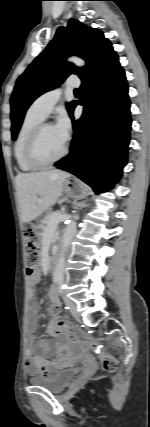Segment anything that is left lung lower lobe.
Wrapping results in <instances>:
<instances>
[{
  "mask_svg": "<svg viewBox=\"0 0 150 427\" xmlns=\"http://www.w3.org/2000/svg\"><path fill=\"white\" fill-rule=\"evenodd\" d=\"M78 104L84 111L74 120ZM70 117L74 129L70 153L55 166L76 175L96 194L105 192L114 184L111 178L122 174L131 129L128 85L113 49L82 79L81 97Z\"/></svg>",
  "mask_w": 150,
  "mask_h": 427,
  "instance_id": "1",
  "label": "left lung lower lobe"
}]
</instances>
